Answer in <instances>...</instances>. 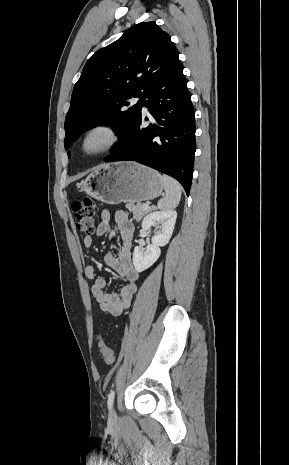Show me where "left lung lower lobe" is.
<instances>
[{
  "instance_id": "1",
  "label": "left lung lower lobe",
  "mask_w": 289,
  "mask_h": 465,
  "mask_svg": "<svg viewBox=\"0 0 289 465\" xmlns=\"http://www.w3.org/2000/svg\"><path fill=\"white\" fill-rule=\"evenodd\" d=\"M155 119L142 126L136 119L120 147L104 160L136 161L172 176L189 195L195 155V118L187 82L180 66L141 98ZM148 120V118H145Z\"/></svg>"
}]
</instances>
